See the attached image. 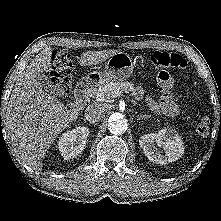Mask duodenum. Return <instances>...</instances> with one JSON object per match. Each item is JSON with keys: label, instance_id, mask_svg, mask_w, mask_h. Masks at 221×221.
I'll list each match as a JSON object with an SVG mask.
<instances>
[{"label": "duodenum", "instance_id": "duodenum-1", "mask_svg": "<svg viewBox=\"0 0 221 221\" xmlns=\"http://www.w3.org/2000/svg\"><path fill=\"white\" fill-rule=\"evenodd\" d=\"M95 84L92 79H85L81 81L75 88L74 91V105L80 106L83 104L85 99L88 97L89 92Z\"/></svg>", "mask_w": 221, "mask_h": 221}]
</instances>
